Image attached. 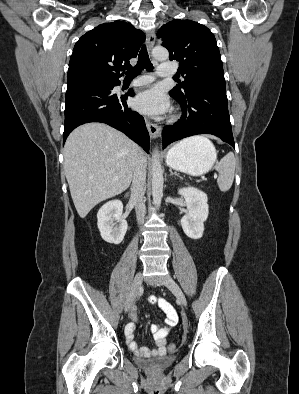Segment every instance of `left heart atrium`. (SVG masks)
<instances>
[{"label":"left heart atrium","mask_w":299,"mask_h":394,"mask_svg":"<svg viewBox=\"0 0 299 394\" xmlns=\"http://www.w3.org/2000/svg\"><path fill=\"white\" fill-rule=\"evenodd\" d=\"M133 105L138 111L150 116L161 115L169 108L162 91L156 87L149 88L138 94L134 99Z\"/></svg>","instance_id":"left-heart-atrium-1"}]
</instances>
